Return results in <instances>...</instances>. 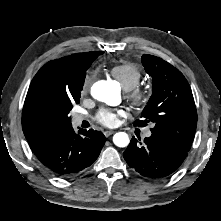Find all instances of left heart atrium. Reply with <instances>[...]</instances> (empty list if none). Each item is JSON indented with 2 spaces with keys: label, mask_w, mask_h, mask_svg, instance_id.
Returning a JSON list of instances; mask_svg holds the SVG:
<instances>
[{
  "label": "left heart atrium",
  "mask_w": 221,
  "mask_h": 221,
  "mask_svg": "<svg viewBox=\"0 0 221 221\" xmlns=\"http://www.w3.org/2000/svg\"><path fill=\"white\" fill-rule=\"evenodd\" d=\"M124 114L122 109L112 110L103 108L98 112V121L106 126H115L118 123V116Z\"/></svg>",
  "instance_id": "1"
}]
</instances>
